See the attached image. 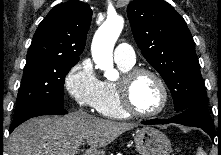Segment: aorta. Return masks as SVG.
Segmentation results:
<instances>
[{
    "label": "aorta",
    "instance_id": "obj_1",
    "mask_svg": "<svg viewBox=\"0 0 221 155\" xmlns=\"http://www.w3.org/2000/svg\"><path fill=\"white\" fill-rule=\"evenodd\" d=\"M124 26L120 16L110 17L99 27L92 41V57L97 67L104 71L108 80L118 77L113 68V48Z\"/></svg>",
    "mask_w": 221,
    "mask_h": 155
}]
</instances>
